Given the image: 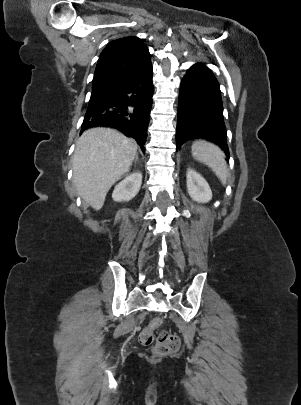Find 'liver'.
Returning <instances> with one entry per match:
<instances>
[{
	"instance_id": "6515ba94",
	"label": "liver",
	"mask_w": 301,
	"mask_h": 405,
	"mask_svg": "<svg viewBox=\"0 0 301 405\" xmlns=\"http://www.w3.org/2000/svg\"><path fill=\"white\" fill-rule=\"evenodd\" d=\"M137 151L135 140L110 128L85 131L73 155V183L93 209L100 210L112 185L129 172Z\"/></svg>"
}]
</instances>
